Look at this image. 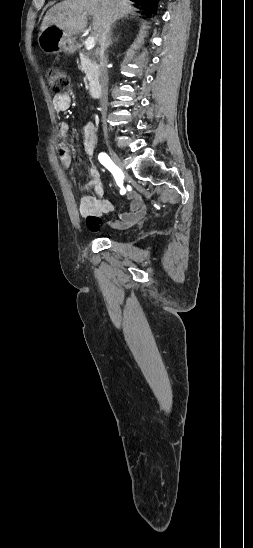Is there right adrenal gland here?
Returning a JSON list of instances; mask_svg holds the SVG:
<instances>
[{"label": "right adrenal gland", "instance_id": "2a0ac1e0", "mask_svg": "<svg viewBox=\"0 0 253 548\" xmlns=\"http://www.w3.org/2000/svg\"><path fill=\"white\" fill-rule=\"evenodd\" d=\"M112 43H113V41H112V39H111V33H110L109 36H108L106 48H108L110 45H112Z\"/></svg>", "mask_w": 253, "mask_h": 548}]
</instances>
